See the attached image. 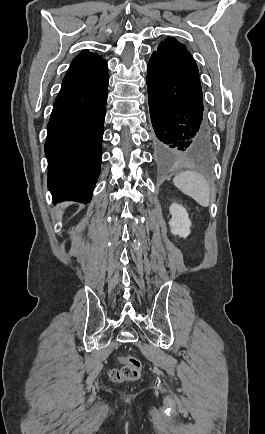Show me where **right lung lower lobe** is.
<instances>
[{
    "instance_id": "98d812e1",
    "label": "right lung lower lobe",
    "mask_w": 265,
    "mask_h": 434,
    "mask_svg": "<svg viewBox=\"0 0 265 434\" xmlns=\"http://www.w3.org/2000/svg\"><path fill=\"white\" fill-rule=\"evenodd\" d=\"M108 66L88 50L72 61L47 126L48 188L54 203H88L100 173Z\"/></svg>"
}]
</instances>
